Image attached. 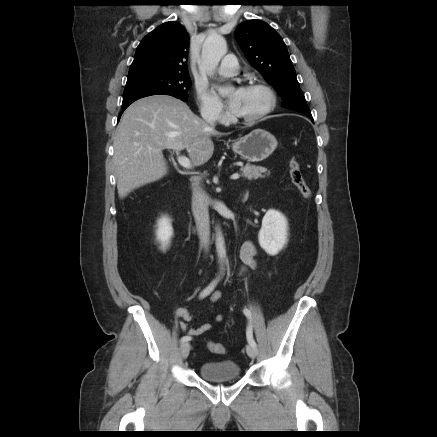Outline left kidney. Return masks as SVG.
I'll list each match as a JSON object with an SVG mask.
<instances>
[{
	"label": "left kidney",
	"mask_w": 437,
	"mask_h": 437,
	"mask_svg": "<svg viewBox=\"0 0 437 437\" xmlns=\"http://www.w3.org/2000/svg\"><path fill=\"white\" fill-rule=\"evenodd\" d=\"M288 222L285 216L273 209L266 212L258 234L261 248L269 255H277L287 243Z\"/></svg>",
	"instance_id": "5707ae66"
}]
</instances>
